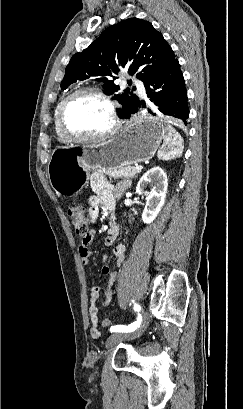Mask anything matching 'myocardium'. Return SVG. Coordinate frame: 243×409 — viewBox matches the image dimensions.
Returning <instances> with one entry per match:
<instances>
[{
    "instance_id": "1",
    "label": "myocardium",
    "mask_w": 243,
    "mask_h": 409,
    "mask_svg": "<svg viewBox=\"0 0 243 409\" xmlns=\"http://www.w3.org/2000/svg\"><path fill=\"white\" fill-rule=\"evenodd\" d=\"M80 95L94 96L106 104L108 111H109L110 121H111L110 126L106 130L100 133H97V134H93V135H80V134L72 133L67 129L66 124H65V114H66L67 108L69 104L71 103V101ZM58 125H59V129L61 133L69 141L87 142V141L102 140V139H105L113 135L119 129L120 121H119V117L117 114L115 102L112 100V98L106 93H104L103 91H101L100 89L87 87V88L77 89L63 99L59 112H58Z\"/></svg>"
}]
</instances>
